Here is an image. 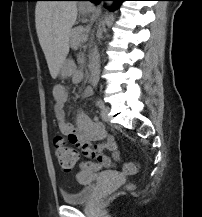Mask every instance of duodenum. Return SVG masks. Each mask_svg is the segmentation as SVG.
Masks as SVG:
<instances>
[{
    "mask_svg": "<svg viewBox=\"0 0 202 217\" xmlns=\"http://www.w3.org/2000/svg\"><path fill=\"white\" fill-rule=\"evenodd\" d=\"M90 81L92 84H96L98 82V68L95 63L91 66Z\"/></svg>",
    "mask_w": 202,
    "mask_h": 217,
    "instance_id": "duodenum-1",
    "label": "duodenum"
}]
</instances>
